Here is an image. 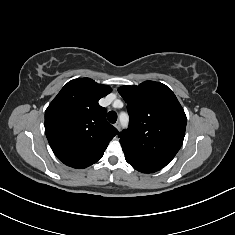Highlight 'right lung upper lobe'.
I'll return each mask as SVG.
<instances>
[{"label": "right lung upper lobe", "mask_w": 235, "mask_h": 235, "mask_svg": "<svg viewBox=\"0 0 235 235\" xmlns=\"http://www.w3.org/2000/svg\"><path fill=\"white\" fill-rule=\"evenodd\" d=\"M112 91L90 78L69 81L45 111L48 142L65 165L86 168L100 160L118 130L106 120L99 99Z\"/></svg>", "instance_id": "obj_1"}]
</instances>
